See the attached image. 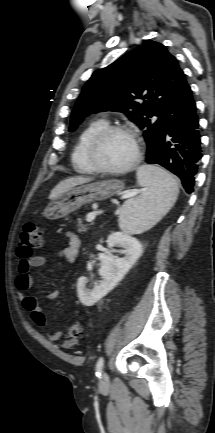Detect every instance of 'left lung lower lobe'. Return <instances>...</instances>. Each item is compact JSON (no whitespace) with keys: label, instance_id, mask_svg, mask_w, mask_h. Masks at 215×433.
Wrapping results in <instances>:
<instances>
[{"label":"left lung lower lobe","instance_id":"0a47b994","mask_svg":"<svg viewBox=\"0 0 215 433\" xmlns=\"http://www.w3.org/2000/svg\"><path fill=\"white\" fill-rule=\"evenodd\" d=\"M200 137L196 104L184 80L164 112L163 127L146 162L161 165L177 175L190 194L202 158Z\"/></svg>","mask_w":215,"mask_h":433}]
</instances>
